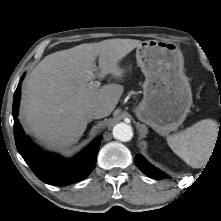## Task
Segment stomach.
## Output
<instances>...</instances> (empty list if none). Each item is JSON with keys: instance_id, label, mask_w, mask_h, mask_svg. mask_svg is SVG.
Segmentation results:
<instances>
[{"instance_id": "1", "label": "stomach", "mask_w": 221, "mask_h": 221, "mask_svg": "<svg viewBox=\"0 0 221 221\" xmlns=\"http://www.w3.org/2000/svg\"><path fill=\"white\" fill-rule=\"evenodd\" d=\"M136 60L145 82L134 112L157 133L167 135L183 123L193 103L182 52L175 43L148 40L137 47Z\"/></svg>"}]
</instances>
